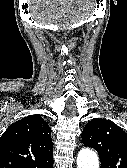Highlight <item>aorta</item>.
<instances>
[{
  "label": "aorta",
  "mask_w": 127,
  "mask_h": 168,
  "mask_svg": "<svg viewBox=\"0 0 127 168\" xmlns=\"http://www.w3.org/2000/svg\"><path fill=\"white\" fill-rule=\"evenodd\" d=\"M77 166L78 168H99L97 154L89 148L80 150L77 157Z\"/></svg>",
  "instance_id": "1"
}]
</instances>
